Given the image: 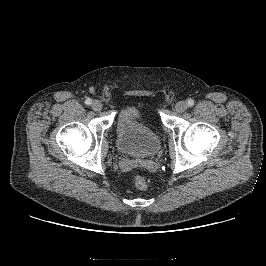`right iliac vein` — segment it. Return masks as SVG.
<instances>
[{
	"label": "right iliac vein",
	"instance_id": "obj_1",
	"mask_svg": "<svg viewBox=\"0 0 266 266\" xmlns=\"http://www.w3.org/2000/svg\"><path fill=\"white\" fill-rule=\"evenodd\" d=\"M91 107L94 111H100L102 109V104L98 100H94L91 104Z\"/></svg>",
	"mask_w": 266,
	"mask_h": 266
}]
</instances>
